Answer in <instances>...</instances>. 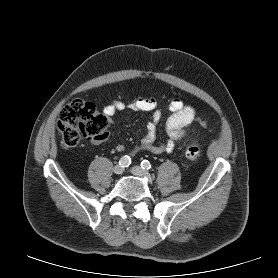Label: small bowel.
Wrapping results in <instances>:
<instances>
[{
	"instance_id": "small-bowel-1",
	"label": "small bowel",
	"mask_w": 278,
	"mask_h": 278,
	"mask_svg": "<svg viewBox=\"0 0 278 278\" xmlns=\"http://www.w3.org/2000/svg\"><path fill=\"white\" fill-rule=\"evenodd\" d=\"M126 108L133 111H146L152 113L151 120L147 124L146 134L141 139L140 145L135 148L132 153H136L139 150L154 154L164 152L171 153L175 143L185 136L188 126L194 122H198L200 125L205 126V122L197 117L195 109L192 106L185 104L179 98H174L169 103L170 115L164 125V130L168 139L163 143L156 144L157 127L162 117L161 111L157 106V101L152 97L138 98L126 105L122 101L114 100L104 107L103 112L108 120H110L118 111H122ZM106 138L107 134H104L99 140H105ZM116 149L121 151L123 150V146L118 145Z\"/></svg>"
}]
</instances>
